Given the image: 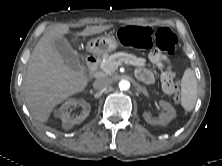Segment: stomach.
<instances>
[{
  "instance_id": "0dacf381",
  "label": "stomach",
  "mask_w": 222,
  "mask_h": 166,
  "mask_svg": "<svg viewBox=\"0 0 222 166\" xmlns=\"http://www.w3.org/2000/svg\"><path fill=\"white\" fill-rule=\"evenodd\" d=\"M118 47V42L113 36L105 35L91 39L87 43L88 51L102 55L114 51Z\"/></svg>"
}]
</instances>
